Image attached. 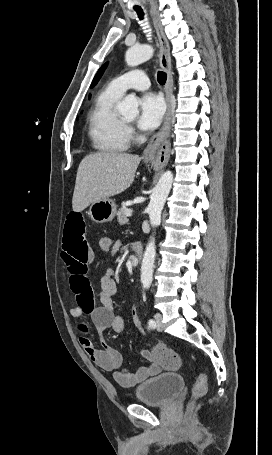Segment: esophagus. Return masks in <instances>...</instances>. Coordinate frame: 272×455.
<instances>
[{"label": "esophagus", "mask_w": 272, "mask_h": 455, "mask_svg": "<svg viewBox=\"0 0 272 455\" xmlns=\"http://www.w3.org/2000/svg\"><path fill=\"white\" fill-rule=\"evenodd\" d=\"M153 24L158 37L160 48V66L167 73L165 85L167 112L162 128L151 138L144 150L143 158L151 162L156 168H163L170 157V120H171V98L173 92V76L171 71L170 46L158 17L151 11Z\"/></svg>", "instance_id": "1"}]
</instances>
